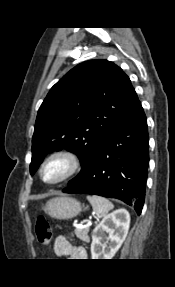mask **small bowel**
<instances>
[{
	"label": "small bowel",
	"mask_w": 175,
	"mask_h": 287,
	"mask_svg": "<svg viewBox=\"0 0 175 287\" xmlns=\"http://www.w3.org/2000/svg\"><path fill=\"white\" fill-rule=\"evenodd\" d=\"M54 252L58 257H69L75 260L87 258V251L84 247L71 245L63 236H58L54 244Z\"/></svg>",
	"instance_id": "c3829d8e"
}]
</instances>
